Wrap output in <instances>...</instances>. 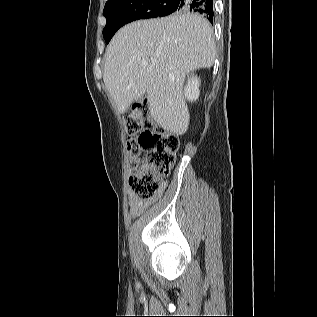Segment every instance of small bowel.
Instances as JSON below:
<instances>
[{"instance_id": "small-bowel-1", "label": "small bowel", "mask_w": 317, "mask_h": 317, "mask_svg": "<svg viewBox=\"0 0 317 317\" xmlns=\"http://www.w3.org/2000/svg\"><path fill=\"white\" fill-rule=\"evenodd\" d=\"M151 201H141L137 199L134 195H130L128 205L129 212L132 217H137L140 215L149 205Z\"/></svg>"}]
</instances>
